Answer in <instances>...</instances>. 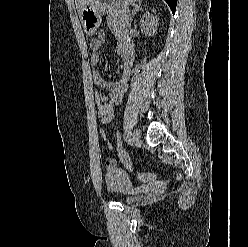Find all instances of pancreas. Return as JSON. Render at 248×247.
<instances>
[{
    "instance_id": "cf45deb5",
    "label": "pancreas",
    "mask_w": 248,
    "mask_h": 247,
    "mask_svg": "<svg viewBox=\"0 0 248 247\" xmlns=\"http://www.w3.org/2000/svg\"><path fill=\"white\" fill-rule=\"evenodd\" d=\"M130 15L129 11L126 9L123 10H115L111 14H109L107 18V24L109 28L113 30H117L121 27L130 25Z\"/></svg>"
}]
</instances>
